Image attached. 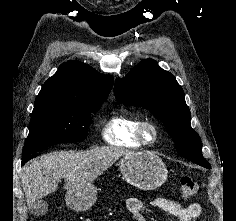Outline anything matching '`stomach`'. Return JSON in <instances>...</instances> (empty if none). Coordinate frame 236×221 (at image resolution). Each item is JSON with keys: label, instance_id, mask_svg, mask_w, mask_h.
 Instances as JSON below:
<instances>
[{"label": "stomach", "instance_id": "obj_1", "mask_svg": "<svg viewBox=\"0 0 236 221\" xmlns=\"http://www.w3.org/2000/svg\"><path fill=\"white\" fill-rule=\"evenodd\" d=\"M120 170L127 182L146 191L160 187L168 173L162 159L150 151L124 155L120 160ZM65 200L76 211L88 210L97 200V188L89 184L80 189L68 190Z\"/></svg>", "mask_w": 236, "mask_h": 221}]
</instances>
